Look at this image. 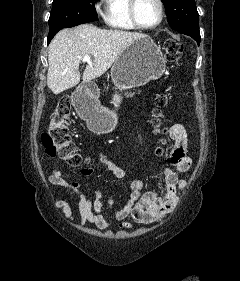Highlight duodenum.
<instances>
[{"instance_id":"obj_1","label":"duodenum","mask_w":240,"mask_h":281,"mask_svg":"<svg viewBox=\"0 0 240 281\" xmlns=\"http://www.w3.org/2000/svg\"><path fill=\"white\" fill-rule=\"evenodd\" d=\"M96 95V90L93 88H86L85 93H84V98L82 100V104L86 103V99L89 97H93Z\"/></svg>"}]
</instances>
